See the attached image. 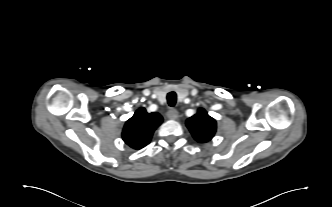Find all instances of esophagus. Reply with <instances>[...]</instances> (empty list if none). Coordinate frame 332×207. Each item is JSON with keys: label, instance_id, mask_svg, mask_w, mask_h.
<instances>
[{"label": "esophagus", "instance_id": "obj_1", "mask_svg": "<svg viewBox=\"0 0 332 207\" xmlns=\"http://www.w3.org/2000/svg\"><path fill=\"white\" fill-rule=\"evenodd\" d=\"M178 111L176 109H169L168 112H167V117L169 119H172V120H175L178 118Z\"/></svg>", "mask_w": 332, "mask_h": 207}]
</instances>
